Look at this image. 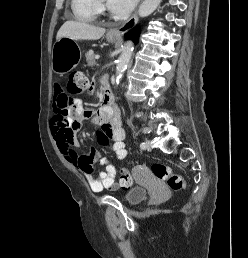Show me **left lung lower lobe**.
<instances>
[{"label": "left lung lower lobe", "mask_w": 248, "mask_h": 258, "mask_svg": "<svg viewBox=\"0 0 248 258\" xmlns=\"http://www.w3.org/2000/svg\"><path fill=\"white\" fill-rule=\"evenodd\" d=\"M138 29H134V30H131L130 32H128L126 35H125V38L126 39H132V40H136L137 37H138Z\"/></svg>", "instance_id": "left-lung-lower-lobe-1"}]
</instances>
